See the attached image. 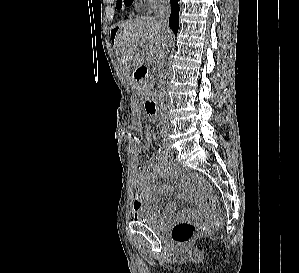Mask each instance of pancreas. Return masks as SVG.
I'll return each mask as SVG.
<instances>
[{
  "instance_id": "cf45deb5",
  "label": "pancreas",
  "mask_w": 299,
  "mask_h": 273,
  "mask_svg": "<svg viewBox=\"0 0 299 273\" xmlns=\"http://www.w3.org/2000/svg\"><path fill=\"white\" fill-rule=\"evenodd\" d=\"M137 92L140 95H146L147 94V88L144 86V84H140V86L137 88Z\"/></svg>"
}]
</instances>
